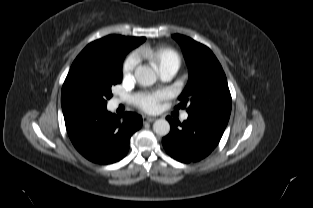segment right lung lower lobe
Listing matches in <instances>:
<instances>
[{
  "label": "right lung lower lobe",
  "instance_id": "right-lung-lower-lobe-1",
  "mask_svg": "<svg viewBox=\"0 0 313 208\" xmlns=\"http://www.w3.org/2000/svg\"><path fill=\"white\" fill-rule=\"evenodd\" d=\"M68 135L75 148L88 160L110 164L125 157L133 133L142 126V117L126 112L116 116L106 105L78 98H62Z\"/></svg>",
  "mask_w": 313,
  "mask_h": 208
}]
</instances>
